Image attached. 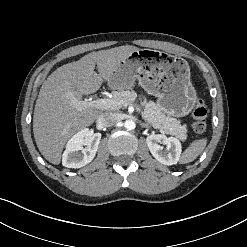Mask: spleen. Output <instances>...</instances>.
<instances>
[{"instance_id":"1","label":"spleen","mask_w":247,"mask_h":247,"mask_svg":"<svg viewBox=\"0 0 247 247\" xmlns=\"http://www.w3.org/2000/svg\"><path fill=\"white\" fill-rule=\"evenodd\" d=\"M207 139L194 140L189 147L183 152L180 163L187 164L194 161L205 149Z\"/></svg>"}]
</instances>
